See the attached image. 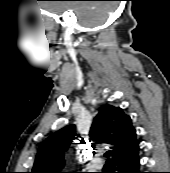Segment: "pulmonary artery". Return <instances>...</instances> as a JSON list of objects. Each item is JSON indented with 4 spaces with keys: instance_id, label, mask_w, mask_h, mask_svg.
Returning a JSON list of instances; mask_svg holds the SVG:
<instances>
[{
    "instance_id": "obj_1",
    "label": "pulmonary artery",
    "mask_w": 170,
    "mask_h": 173,
    "mask_svg": "<svg viewBox=\"0 0 170 173\" xmlns=\"http://www.w3.org/2000/svg\"><path fill=\"white\" fill-rule=\"evenodd\" d=\"M92 164L95 168L101 169L103 167L104 162L99 158H95L92 160Z\"/></svg>"
}]
</instances>
